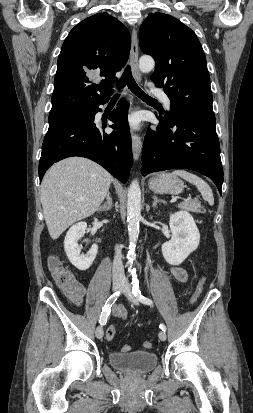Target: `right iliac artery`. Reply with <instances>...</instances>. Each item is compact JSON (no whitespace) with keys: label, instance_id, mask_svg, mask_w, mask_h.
<instances>
[{"label":"right iliac artery","instance_id":"obj_1","mask_svg":"<svg viewBox=\"0 0 253 413\" xmlns=\"http://www.w3.org/2000/svg\"><path fill=\"white\" fill-rule=\"evenodd\" d=\"M120 295V291L115 292L114 294H112L106 301L101 315H100V319H99V323L101 325H105L107 322V318L110 315V311H111V307L112 305L115 303V301L117 300L118 296Z\"/></svg>","mask_w":253,"mask_h":413}]
</instances>
